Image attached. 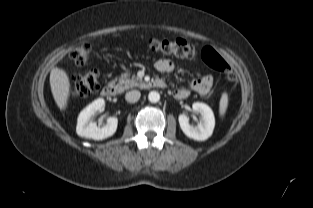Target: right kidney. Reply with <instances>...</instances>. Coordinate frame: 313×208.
Masks as SVG:
<instances>
[{"mask_svg": "<svg viewBox=\"0 0 313 208\" xmlns=\"http://www.w3.org/2000/svg\"><path fill=\"white\" fill-rule=\"evenodd\" d=\"M104 109V99L99 98L89 104L81 111L77 121L76 132L80 137L93 140H103L111 137L117 130L118 119L116 117H109L107 124L102 128L98 127L93 122V116L97 112H102Z\"/></svg>", "mask_w": 313, "mask_h": 208, "instance_id": "ca27d5eb", "label": "right kidney"}]
</instances>
